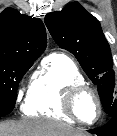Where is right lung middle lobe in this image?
Instances as JSON below:
<instances>
[{"label":"right lung middle lobe","instance_id":"dd1d6c3e","mask_svg":"<svg viewBox=\"0 0 117 136\" xmlns=\"http://www.w3.org/2000/svg\"><path fill=\"white\" fill-rule=\"evenodd\" d=\"M34 61L0 58V104L15 106L18 84Z\"/></svg>","mask_w":117,"mask_h":136}]
</instances>
